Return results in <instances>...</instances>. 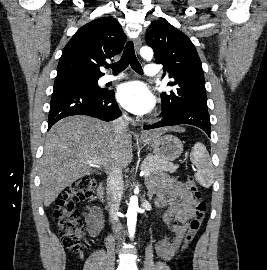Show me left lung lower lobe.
Masks as SVG:
<instances>
[{
  "label": "left lung lower lobe",
  "mask_w": 267,
  "mask_h": 270,
  "mask_svg": "<svg viewBox=\"0 0 267 270\" xmlns=\"http://www.w3.org/2000/svg\"><path fill=\"white\" fill-rule=\"evenodd\" d=\"M161 115L164 116L161 121L152 125H145L144 129L149 130L165 126L189 124L201 128L210 137V119L207 109L184 107L172 111L162 110Z\"/></svg>",
  "instance_id": "left-lung-lower-lobe-1"
}]
</instances>
